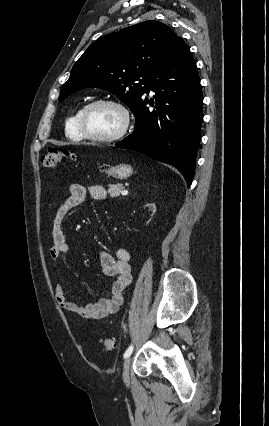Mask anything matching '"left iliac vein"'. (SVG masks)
<instances>
[{
  "label": "left iliac vein",
  "instance_id": "1",
  "mask_svg": "<svg viewBox=\"0 0 269 426\" xmlns=\"http://www.w3.org/2000/svg\"><path fill=\"white\" fill-rule=\"evenodd\" d=\"M131 358L127 357L123 363V380L126 384L130 382L129 368H130Z\"/></svg>",
  "mask_w": 269,
  "mask_h": 426
}]
</instances>
